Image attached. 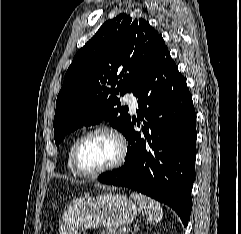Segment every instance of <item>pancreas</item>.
<instances>
[{
	"label": "pancreas",
	"mask_w": 241,
	"mask_h": 234,
	"mask_svg": "<svg viewBox=\"0 0 241 234\" xmlns=\"http://www.w3.org/2000/svg\"><path fill=\"white\" fill-rule=\"evenodd\" d=\"M100 234H123L121 229H108L106 231H102Z\"/></svg>",
	"instance_id": "pancreas-1"
}]
</instances>
